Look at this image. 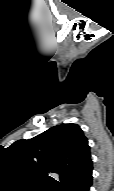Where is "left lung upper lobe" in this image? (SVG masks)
I'll return each instance as SVG.
<instances>
[{
  "label": "left lung upper lobe",
  "instance_id": "5c2ea615",
  "mask_svg": "<svg viewBox=\"0 0 114 191\" xmlns=\"http://www.w3.org/2000/svg\"><path fill=\"white\" fill-rule=\"evenodd\" d=\"M8 151L24 167L42 176L59 175L50 181L61 188L91 157L88 140L77 124L54 126L31 139L14 142Z\"/></svg>",
  "mask_w": 114,
  "mask_h": 191
}]
</instances>
